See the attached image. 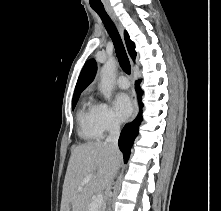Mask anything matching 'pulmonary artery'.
<instances>
[{
    "label": "pulmonary artery",
    "instance_id": "1",
    "mask_svg": "<svg viewBox=\"0 0 221 211\" xmlns=\"http://www.w3.org/2000/svg\"><path fill=\"white\" fill-rule=\"evenodd\" d=\"M117 85L121 89H127L130 84H129L127 77L122 75L117 79Z\"/></svg>",
    "mask_w": 221,
    "mask_h": 211
}]
</instances>
